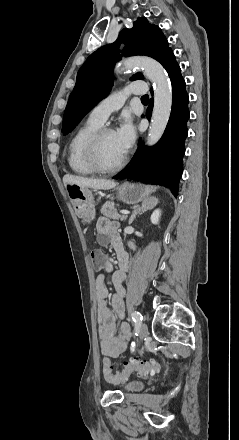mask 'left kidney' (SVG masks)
Segmentation results:
<instances>
[{"label":"left kidney","mask_w":239,"mask_h":440,"mask_svg":"<svg viewBox=\"0 0 239 440\" xmlns=\"http://www.w3.org/2000/svg\"><path fill=\"white\" fill-rule=\"evenodd\" d=\"M160 216H161V210H154V212L150 218L152 224H158V222L160 220Z\"/></svg>","instance_id":"obj_1"}]
</instances>
